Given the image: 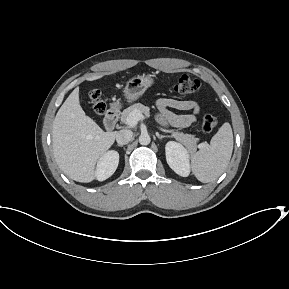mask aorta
I'll return each instance as SVG.
<instances>
[{
	"label": "aorta",
	"instance_id": "aorta-1",
	"mask_svg": "<svg viewBox=\"0 0 289 289\" xmlns=\"http://www.w3.org/2000/svg\"><path fill=\"white\" fill-rule=\"evenodd\" d=\"M151 142L149 134L144 133L139 136V143L141 145H148Z\"/></svg>",
	"mask_w": 289,
	"mask_h": 289
}]
</instances>
